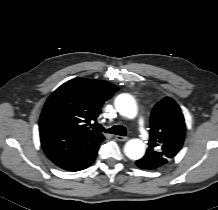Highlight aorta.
I'll return each mask as SVG.
<instances>
[{"label":"aorta","mask_w":218,"mask_h":210,"mask_svg":"<svg viewBox=\"0 0 218 210\" xmlns=\"http://www.w3.org/2000/svg\"><path fill=\"white\" fill-rule=\"evenodd\" d=\"M115 107L120 115L133 119L137 116V104L130 94H120L115 99ZM125 155L132 160L141 159L145 154V144L140 139H131L124 146Z\"/></svg>","instance_id":"1"}]
</instances>
